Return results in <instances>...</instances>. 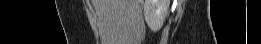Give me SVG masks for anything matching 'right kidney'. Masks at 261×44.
<instances>
[{"label":"right kidney","instance_id":"right-kidney-1","mask_svg":"<svg viewBox=\"0 0 261 44\" xmlns=\"http://www.w3.org/2000/svg\"><path fill=\"white\" fill-rule=\"evenodd\" d=\"M170 0H145L144 17L152 31H158L166 18Z\"/></svg>","mask_w":261,"mask_h":44}]
</instances>
